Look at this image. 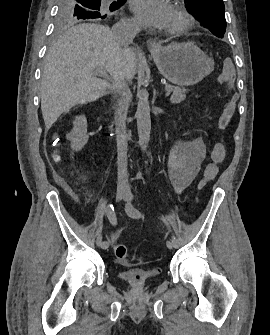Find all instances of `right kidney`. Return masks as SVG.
Returning <instances> with one entry per match:
<instances>
[{"label": "right kidney", "mask_w": 270, "mask_h": 335, "mask_svg": "<svg viewBox=\"0 0 270 335\" xmlns=\"http://www.w3.org/2000/svg\"><path fill=\"white\" fill-rule=\"evenodd\" d=\"M73 124L74 128L70 134H67L66 138L70 140L72 150L79 152L88 142L86 116H77Z\"/></svg>", "instance_id": "ca27d5eb"}]
</instances>
